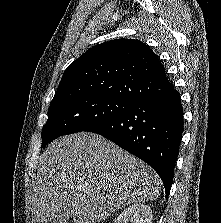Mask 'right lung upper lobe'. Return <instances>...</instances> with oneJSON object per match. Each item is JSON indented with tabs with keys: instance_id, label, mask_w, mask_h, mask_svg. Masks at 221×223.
Listing matches in <instances>:
<instances>
[{
	"instance_id": "cb5924a9",
	"label": "right lung upper lobe",
	"mask_w": 221,
	"mask_h": 223,
	"mask_svg": "<svg viewBox=\"0 0 221 223\" xmlns=\"http://www.w3.org/2000/svg\"><path fill=\"white\" fill-rule=\"evenodd\" d=\"M172 88L163 65L147 45L114 39L90 48L68 66L51 104L88 95L135 103Z\"/></svg>"
}]
</instances>
